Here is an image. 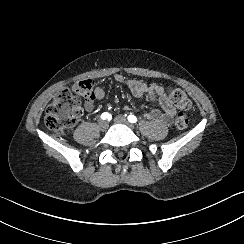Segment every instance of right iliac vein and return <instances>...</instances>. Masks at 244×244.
Wrapping results in <instances>:
<instances>
[{
	"instance_id": "63e3f726",
	"label": "right iliac vein",
	"mask_w": 244,
	"mask_h": 244,
	"mask_svg": "<svg viewBox=\"0 0 244 244\" xmlns=\"http://www.w3.org/2000/svg\"><path fill=\"white\" fill-rule=\"evenodd\" d=\"M99 128L103 131L107 130L109 123L106 120H101L98 124Z\"/></svg>"
}]
</instances>
